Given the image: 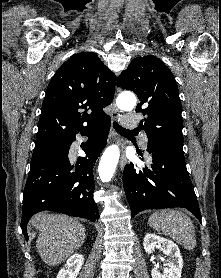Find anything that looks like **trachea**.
I'll use <instances>...</instances> for the list:
<instances>
[{
    "label": "trachea",
    "mask_w": 221,
    "mask_h": 278,
    "mask_svg": "<svg viewBox=\"0 0 221 278\" xmlns=\"http://www.w3.org/2000/svg\"><path fill=\"white\" fill-rule=\"evenodd\" d=\"M113 127L120 134H136V133H138V130H136V129L135 130H127L116 122L113 123Z\"/></svg>",
    "instance_id": "3493384b"
}]
</instances>
